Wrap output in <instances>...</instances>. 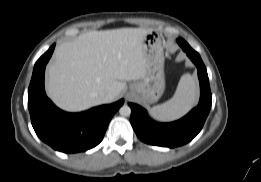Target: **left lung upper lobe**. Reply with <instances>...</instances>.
I'll return each mask as SVG.
<instances>
[{
	"mask_svg": "<svg viewBox=\"0 0 261 182\" xmlns=\"http://www.w3.org/2000/svg\"><path fill=\"white\" fill-rule=\"evenodd\" d=\"M177 42H178V44L183 48V47H190L189 45H188V43L184 40V39H182V38H178L177 39Z\"/></svg>",
	"mask_w": 261,
	"mask_h": 182,
	"instance_id": "5c2ea615",
	"label": "left lung upper lobe"
}]
</instances>
